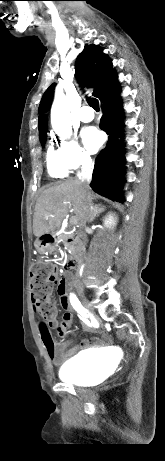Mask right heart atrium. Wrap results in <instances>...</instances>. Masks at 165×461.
I'll use <instances>...</instances> for the list:
<instances>
[{
	"instance_id": "obj_1",
	"label": "right heart atrium",
	"mask_w": 165,
	"mask_h": 461,
	"mask_svg": "<svg viewBox=\"0 0 165 461\" xmlns=\"http://www.w3.org/2000/svg\"><path fill=\"white\" fill-rule=\"evenodd\" d=\"M57 152L62 164L70 171L92 164L91 155L76 140L60 139Z\"/></svg>"
}]
</instances>
